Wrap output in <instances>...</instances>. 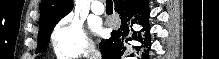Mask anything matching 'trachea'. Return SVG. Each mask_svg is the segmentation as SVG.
I'll use <instances>...</instances> for the list:
<instances>
[{
	"mask_svg": "<svg viewBox=\"0 0 219 59\" xmlns=\"http://www.w3.org/2000/svg\"><path fill=\"white\" fill-rule=\"evenodd\" d=\"M106 7H107V8H113V2H112V0H107V1H106Z\"/></svg>",
	"mask_w": 219,
	"mask_h": 59,
	"instance_id": "trachea-1",
	"label": "trachea"
}]
</instances>
